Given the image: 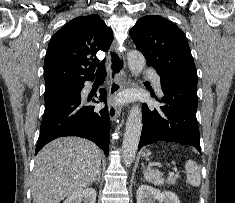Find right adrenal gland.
Listing matches in <instances>:
<instances>
[{"label": "right adrenal gland", "instance_id": "1", "mask_svg": "<svg viewBox=\"0 0 235 203\" xmlns=\"http://www.w3.org/2000/svg\"><path fill=\"white\" fill-rule=\"evenodd\" d=\"M100 175H101V174L99 173L98 176H97V178L94 180V182L97 183V184L100 183Z\"/></svg>", "mask_w": 235, "mask_h": 203}]
</instances>
